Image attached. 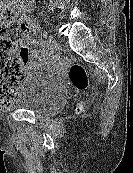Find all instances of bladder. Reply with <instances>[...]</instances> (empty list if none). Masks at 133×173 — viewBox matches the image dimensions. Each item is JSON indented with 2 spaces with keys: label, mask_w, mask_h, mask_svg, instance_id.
Instances as JSON below:
<instances>
[{
  "label": "bladder",
  "mask_w": 133,
  "mask_h": 173,
  "mask_svg": "<svg viewBox=\"0 0 133 173\" xmlns=\"http://www.w3.org/2000/svg\"><path fill=\"white\" fill-rule=\"evenodd\" d=\"M67 85L55 70L41 66L26 74L13 106L41 116L57 114L66 102Z\"/></svg>",
  "instance_id": "bladder-1"
}]
</instances>
